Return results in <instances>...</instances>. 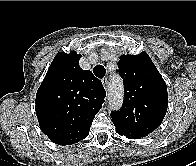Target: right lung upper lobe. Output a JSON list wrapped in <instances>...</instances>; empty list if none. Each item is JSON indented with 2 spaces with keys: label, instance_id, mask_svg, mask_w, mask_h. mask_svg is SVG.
<instances>
[{
  "label": "right lung upper lobe",
  "instance_id": "cb5924a9",
  "mask_svg": "<svg viewBox=\"0 0 196 166\" xmlns=\"http://www.w3.org/2000/svg\"><path fill=\"white\" fill-rule=\"evenodd\" d=\"M81 55L58 53L36 94L41 130L58 145H70L89 135L106 96L102 82L79 67Z\"/></svg>",
  "mask_w": 196,
  "mask_h": 166
}]
</instances>
